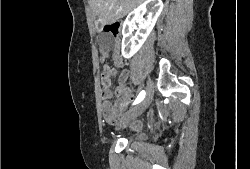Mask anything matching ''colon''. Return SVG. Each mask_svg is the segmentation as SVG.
Returning a JSON list of instances; mask_svg holds the SVG:
<instances>
[{"label": "colon", "instance_id": "colon-1", "mask_svg": "<svg viewBox=\"0 0 250 169\" xmlns=\"http://www.w3.org/2000/svg\"><path fill=\"white\" fill-rule=\"evenodd\" d=\"M103 32L106 37V41L104 43L105 47H109L111 41L114 39H120L122 34V25L120 23H112L104 26Z\"/></svg>", "mask_w": 250, "mask_h": 169}]
</instances>
